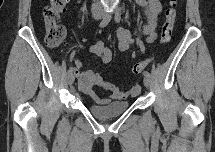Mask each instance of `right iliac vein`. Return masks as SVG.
Instances as JSON below:
<instances>
[{
  "label": "right iliac vein",
  "instance_id": "1",
  "mask_svg": "<svg viewBox=\"0 0 215 152\" xmlns=\"http://www.w3.org/2000/svg\"><path fill=\"white\" fill-rule=\"evenodd\" d=\"M101 17H102V16L99 15V14H95V15H94V18H95L96 20L101 19ZM74 80H75L74 75H73L72 73L68 74V83H69V85H72V84L74 83Z\"/></svg>",
  "mask_w": 215,
  "mask_h": 152
}]
</instances>
